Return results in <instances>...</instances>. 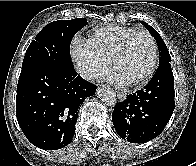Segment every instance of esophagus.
<instances>
[{"instance_id":"1","label":"esophagus","mask_w":196,"mask_h":166,"mask_svg":"<svg viewBox=\"0 0 196 166\" xmlns=\"http://www.w3.org/2000/svg\"><path fill=\"white\" fill-rule=\"evenodd\" d=\"M117 97H118L119 101H124L126 99V94L123 92H118Z\"/></svg>"}]
</instances>
